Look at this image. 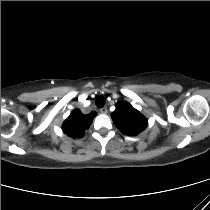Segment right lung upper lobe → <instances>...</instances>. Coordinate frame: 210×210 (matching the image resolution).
I'll list each match as a JSON object with an SVG mask.
<instances>
[{
    "mask_svg": "<svg viewBox=\"0 0 210 210\" xmlns=\"http://www.w3.org/2000/svg\"><path fill=\"white\" fill-rule=\"evenodd\" d=\"M95 116L96 112L84 115L79 109H75L63 123L62 129L65 134L72 138H81L84 135V130L90 127Z\"/></svg>",
    "mask_w": 210,
    "mask_h": 210,
    "instance_id": "right-lung-upper-lobe-1",
    "label": "right lung upper lobe"
}]
</instances>
